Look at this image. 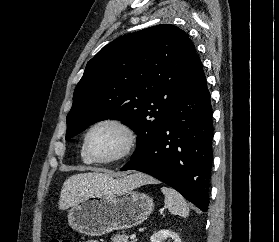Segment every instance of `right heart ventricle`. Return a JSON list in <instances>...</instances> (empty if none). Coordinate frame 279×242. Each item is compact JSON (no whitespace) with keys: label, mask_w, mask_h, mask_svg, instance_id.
I'll return each instance as SVG.
<instances>
[{"label":"right heart ventricle","mask_w":279,"mask_h":242,"mask_svg":"<svg viewBox=\"0 0 279 242\" xmlns=\"http://www.w3.org/2000/svg\"><path fill=\"white\" fill-rule=\"evenodd\" d=\"M80 157L83 163L85 164H91L92 162L87 158V156L85 155L84 151H83V147L80 150Z\"/></svg>","instance_id":"obj_1"}]
</instances>
